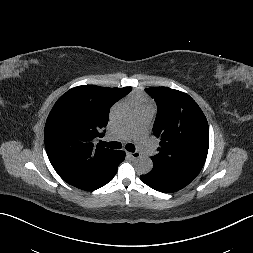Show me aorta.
I'll return each mask as SVG.
<instances>
[{
    "mask_svg": "<svg viewBox=\"0 0 253 253\" xmlns=\"http://www.w3.org/2000/svg\"><path fill=\"white\" fill-rule=\"evenodd\" d=\"M133 115V111L128 104H118L112 110V118L117 123L128 122ZM135 170L140 175L148 174L153 168V162L149 157H139L134 162Z\"/></svg>",
    "mask_w": 253,
    "mask_h": 253,
    "instance_id": "aorta-1",
    "label": "aorta"
}]
</instances>
